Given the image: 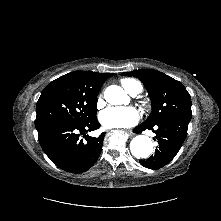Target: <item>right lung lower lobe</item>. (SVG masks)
<instances>
[{
    "instance_id": "obj_1",
    "label": "right lung lower lobe",
    "mask_w": 221,
    "mask_h": 221,
    "mask_svg": "<svg viewBox=\"0 0 221 221\" xmlns=\"http://www.w3.org/2000/svg\"><path fill=\"white\" fill-rule=\"evenodd\" d=\"M99 127L97 118L82 124H53L38 131L39 143L57 167L70 173H82L90 169L100 156L104 133L98 138L86 135Z\"/></svg>"
}]
</instances>
